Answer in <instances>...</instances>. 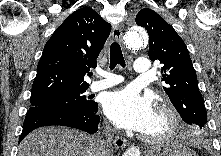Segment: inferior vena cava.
<instances>
[{
  "label": "inferior vena cava",
  "mask_w": 221,
  "mask_h": 156,
  "mask_svg": "<svg viewBox=\"0 0 221 156\" xmlns=\"http://www.w3.org/2000/svg\"><path fill=\"white\" fill-rule=\"evenodd\" d=\"M102 143V142H101ZM102 146H103V143H102ZM104 150H105V147L103 146Z\"/></svg>",
  "instance_id": "obj_1"
}]
</instances>
